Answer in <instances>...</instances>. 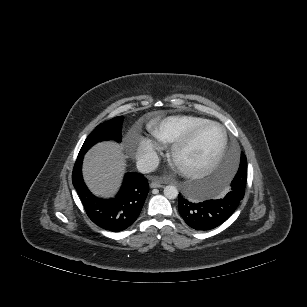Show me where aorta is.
Returning <instances> with one entry per match:
<instances>
[{
    "instance_id": "aorta-1",
    "label": "aorta",
    "mask_w": 307,
    "mask_h": 307,
    "mask_svg": "<svg viewBox=\"0 0 307 307\" xmlns=\"http://www.w3.org/2000/svg\"><path fill=\"white\" fill-rule=\"evenodd\" d=\"M164 196L169 199V200H173L176 199L178 196V190L175 186L173 185H167L164 188Z\"/></svg>"
}]
</instances>
